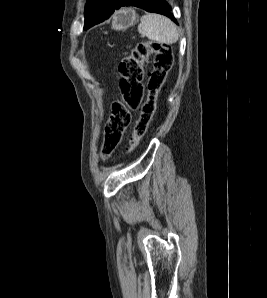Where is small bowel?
Returning a JSON list of instances; mask_svg holds the SVG:
<instances>
[{"label":"small bowel","instance_id":"1","mask_svg":"<svg viewBox=\"0 0 267 298\" xmlns=\"http://www.w3.org/2000/svg\"><path fill=\"white\" fill-rule=\"evenodd\" d=\"M122 101H120L119 99H117L115 102H114V107L113 108H115L116 106H118V105H122ZM134 110H132L131 111V117H132V112H133ZM131 117H130V120H131Z\"/></svg>","mask_w":267,"mask_h":298}]
</instances>
